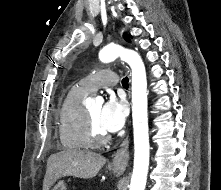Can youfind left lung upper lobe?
<instances>
[{"label": "left lung upper lobe", "instance_id": "left-lung-upper-lobe-1", "mask_svg": "<svg viewBox=\"0 0 221 190\" xmlns=\"http://www.w3.org/2000/svg\"><path fill=\"white\" fill-rule=\"evenodd\" d=\"M129 37H130V35H129ZM124 38H125V40L129 41V38L127 35H124Z\"/></svg>", "mask_w": 221, "mask_h": 190}]
</instances>
